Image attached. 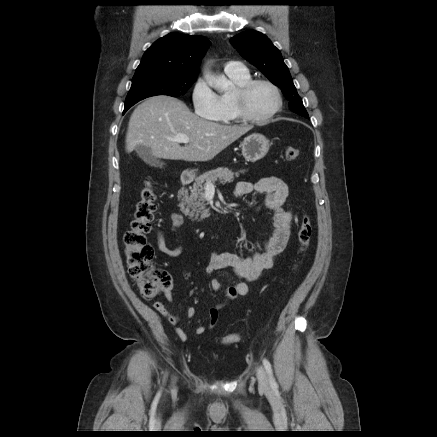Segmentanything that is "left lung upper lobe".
Returning a JSON list of instances; mask_svg holds the SVG:
<instances>
[{
	"label": "left lung upper lobe",
	"instance_id": "5c2ea615",
	"mask_svg": "<svg viewBox=\"0 0 437 437\" xmlns=\"http://www.w3.org/2000/svg\"><path fill=\"white\" fill-rule=\"evenodd\" d=\"M230 42L241 56L256 66L273 84L281 88L289 100L291 111L309 118L280 51L264 34L255 30L245 31L231 38Z\"/></svg>",
	"mask_w": 437,
	"mask_h": 437
}]
</instances>
